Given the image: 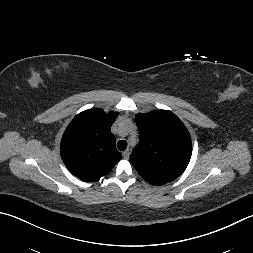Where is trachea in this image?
Here are the masks:
<instances>
[{"instance_id":"1","label":"trachea","mask_w":253,"mask_h":253,"mask_svg":"<svg viewBox=\"0 0 253 253\" xmlns=\"http://www.w3.org/2000/svg\"><path fill=\"white\" fill-rule=\"evenodd\" d=\"M117 147L120 151H124L127 148V142L125 140H120L117 143Z\"/></svg>"}]
</instances>
